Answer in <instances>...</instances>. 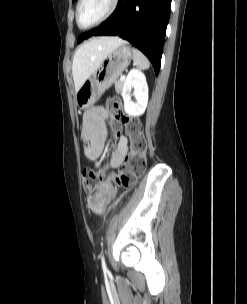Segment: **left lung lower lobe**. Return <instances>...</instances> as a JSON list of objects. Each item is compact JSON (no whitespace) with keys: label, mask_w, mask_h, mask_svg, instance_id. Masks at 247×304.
Listing matches in <instances>:
<instances>
[{"label":"left lung lower lobe","mask_w":247,"mask_h":304,"mask_svg":"<svg viewBox=\"0 0 247 304\" xmlns=\"http://www.w3.org/2000/svg\"><path fill=\"white\" fill-rule=\"evenodd\" d=\"M172 0H119L116 10L99 28L78 38V42L97 35H113L141 50L158 75Z\"/></svg>","instance_id":"0a47b994"}]
</instances>
